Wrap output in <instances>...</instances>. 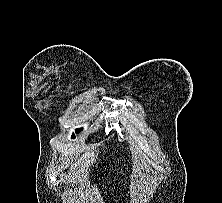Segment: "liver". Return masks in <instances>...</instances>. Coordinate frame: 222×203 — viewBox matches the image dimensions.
I'll use <instances>...</instances> for the list:
<instances>
[{
    "label": "liver",
    "mask_w": 222,
    "mask_h": 203,
    "mask_svg": "<svg viewBox=\"0 0 222 203\" xmlns=\"http://www.w3.org/2000/svg\"><path fill=\"white\" fill-rule=\"evenodd\" d=\"M98 153L99 150L96 151L92 147L86 150L85 153L77 161L73 162L70 170L67 172L69 182H74L77 174L84 173L88 175V169L95 161V157H97Z\"/></svg>",
    "instance_id": "1"
}]
</instances>
